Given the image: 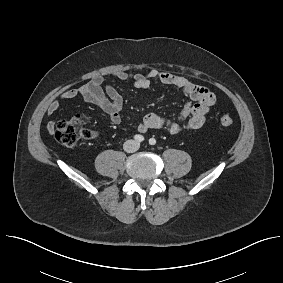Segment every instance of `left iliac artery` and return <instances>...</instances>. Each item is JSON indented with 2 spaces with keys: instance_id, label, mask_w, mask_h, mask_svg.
Masks as SVG:
<instances>
[{
  "instance_id": "left-iliac-artery-1",
  "label": "left iliac artery",
  "mask_w": 283,
  "mask_h": 283,
  "mask_svg": "<svg viewBox=\"0 0 283 283\" xmlns=\"http://www.w3.org/2000/svg\"><path fill=\"white\" fill-rule=\"evenodd\" d=\"M149 144L150 145H155L156 144V140L154 138H150L149 139Z\"/></svg>"
}]
</instances>
